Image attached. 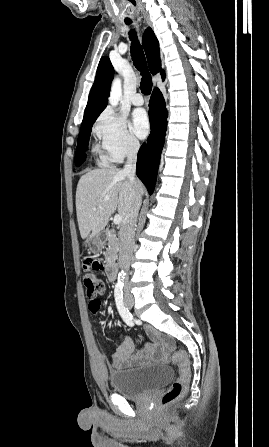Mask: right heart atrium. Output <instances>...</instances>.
Returning a JSON list of instances; mask_svg holds the SVG:
<instances>
[{"instance_id":"right-heart-atrium-1","label":"right heart atrium","mask_w":269,"mask_h":447,"mask_svg":"<svg viewBox=\"0 0 269 447\" xmlns=\"http://www.w3.org/2000/svg\"><path fill=\"white\" fill-rule=\"evenodd\" d=\"M94 133L101 140L104 150L115 161L134 154L140 145L128 129L125 118L112 107L106 108L99 115Z\"/></svg>"}]
</instances>
